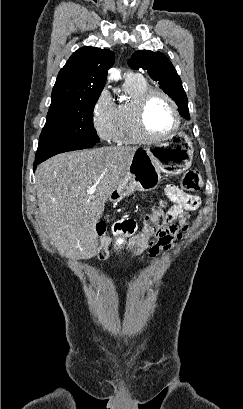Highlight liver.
<instances>
[{"instance_id":"liver-1","label":"liver","mask_w":243,"mask_h":409,"mask_svg":"<svg viewBox=\"0 0 243 409\" xmlns=\"http://www.w3.org/2000/svg\"><path fill=\"white\" fill-rule=\"evenodd\" d=\"M137 147L111 146L56 155L35 173L39 216L58 251L82 258L97 245L105 203L129 172ZM95 186L93 196L87 194Z\"/></svg>"}]
</instances>
